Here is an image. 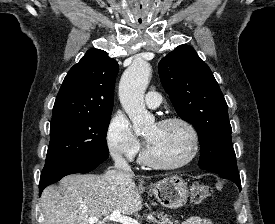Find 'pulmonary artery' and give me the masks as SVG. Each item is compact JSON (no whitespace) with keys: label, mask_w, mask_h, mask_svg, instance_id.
Here are the masks:
<instances>
[{"label":"pulmonary artery","mask_w":275,"mask_h":224,"mask_svg":"<svg viewBox=\"0 0 275 224\" xmlns=\"http://www.w3.org/2000/svg\"><path fill=\"white\" fill-rule=\"evenodd\" d=\"M146 105L150 108H157L161 102V96L159 93L149 91L145 98Z\"/></svg>","instance_id":"e3ab8cb5"}]
</instances>
